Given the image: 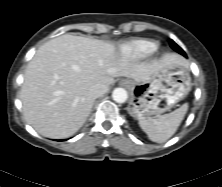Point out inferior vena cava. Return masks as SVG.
<instances>
[{
	"mask_svg": "<svg viewBox=\"0 0 222 187\" xmlns=\"http://www.w3.org/2000/svg\"><path fill=\"white\" fill-rule=\"evenodd\" d=\"M107 86L103 83H97L90 88V94L94 98H98L107 92Z\"/></svg>",
	"mask_w": 222,
	"mask_h": 187,
	"instance_id": "obj_1",
	"label": "inferior vena cava"
}]
</instances>
